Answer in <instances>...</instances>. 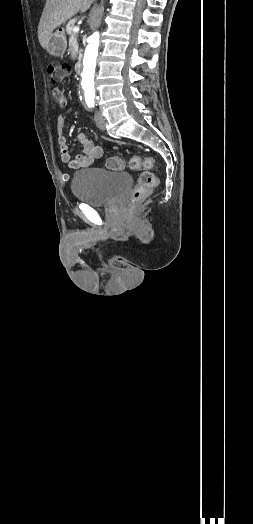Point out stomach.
<instances>
[{
    "mask_svg": "<svg viewBox=\"0 0 253 524\" xmlns=\"http://www.w3.org/2000/svg\"><path fill=\"white\" fill-rule=\"evenodd\" d=\"M66 48L67 40L65 31L61 28H58L51 34L46 50L54 57H62L66 51Z\"/></svg>",
    "mask_w": 253,
    "mask_h": 524,
    "instance_id": "stomach-1",
    "label": "stomach"
}]
</instances>
